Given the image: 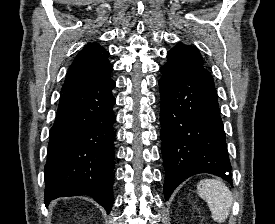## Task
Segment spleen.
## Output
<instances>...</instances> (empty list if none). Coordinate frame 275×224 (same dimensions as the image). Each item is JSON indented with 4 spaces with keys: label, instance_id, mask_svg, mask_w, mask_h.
Instances as JSON below:
<instances>
[{
    "label": "spleen",
    "instance_id": "3e777b00",
    "mask_svg": "<svg viewBox=\"0 0 275 224\" xmlns=\"http://www.w3.org/2000/svg\"><path fill=\"white\" fill-rule=\"evenodd\" d=\"M197 193L208 204L214 221L223 223L233 203L229 188L217 179H204L198 183Z\"/></svg>",
    "mask_w": 275,
    "mask_h": 224
}]
</instances>
